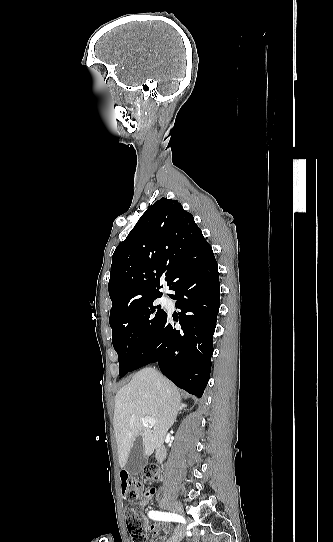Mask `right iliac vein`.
<instances>
[{
    "mask_svg": "<svg viewBox=\"0 0 333 542\" xmlns=\"http://www.w3.org/2000/svg\"><path fill=\"white\" fill-rule=\"evenodd\" d=\"M166 501L171 502V506L169 507L168 503L163 502L160 505L162 508H169V509H172L174 511H177L182 516L184 515V513L182 511V506H181V504L179 502L174 501V500H166ZM183 538H184V528H183L182 525L179 524L175 528V532H174L173 536L171 537V539L168 540V542H180Z\"/></svg>",
    "mask_w": 333,
    "mask_h": 542,
    "instance_id": "63e3f726",
    "label": "right iliac vein"
}]
</instances>
